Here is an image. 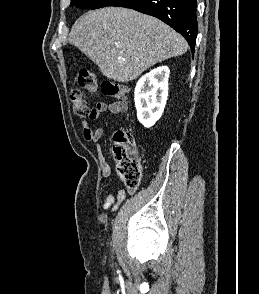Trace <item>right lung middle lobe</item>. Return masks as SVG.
I'll return each mask as SVG.
<instances>
[{
	"label": "right lung middle lobe",
	"mask_w": 259,
	"mask_h": 294,
	"mask_svg": "<svg viewBox=\"0 0 259 294\" xmlns=\"http://www.w3.org/2000/svg\"><path fill=\"white\" fill-rule=\"evenodd\" d=\"M129 0H71V6L81 9H98L107 6L120 7Z\"/></svg>",
	"instance_id": "obj_1"
}]
</instances>
